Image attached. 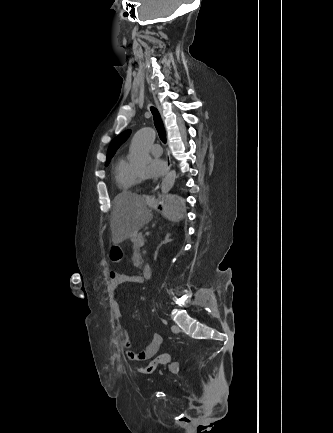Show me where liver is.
<instances>
[{
	"instance_id": "1",
	"label": "liver",
	"mask_w": 333,
	"mask_h": 433,
	"mask_svg": "<svg viewBox=\"0 0 333 433\" xmlns=\"http://www.w3.org/2000/svg\"><path fill=\"white\" fill-rule=\"evenodd\" d=\"M153 218L143 196L124 191L113 200L111 234L114 245L132 237Z\"/></svg>"
}]
</instances>
